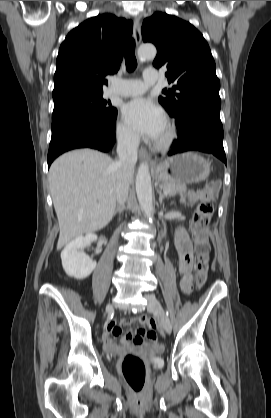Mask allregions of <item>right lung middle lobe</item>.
I'll list each match as a JSON object with an SVG mask.
<instances>
[{"mask_svg": "<svg viewBox=\"0 0 271 418\" xmlns=\"http://www.w3.org/2000/svg\"><path fill=\"white\" fill-rule=\"evenodd\" d=\"M103 92L93 94H78L54 101L52 126L63 121L83 117L103 116L115 118L117 110L110 101L102 98Z\"/></svg>", "mask_w": 271, "mask_h": 418, "instance_id": "obj_1", "label": "right lung middle lobe"}]
</instances>
